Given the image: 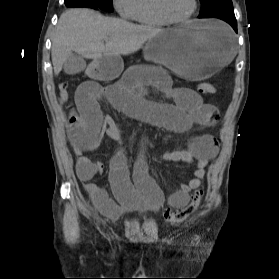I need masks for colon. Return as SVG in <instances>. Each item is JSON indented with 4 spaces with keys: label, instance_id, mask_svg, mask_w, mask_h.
Instances as JSON below:
<instances>
[{
    "label": "colon",
    "instance_id": "obj_1",
    "mask_svg": "<svg viewBox=\"0 0 279 279\" xmlns=\"http://www.w3.org/2000/svg\"><path fill=\"white\" fill-rule=\"evenodd\" d=\"M59 90V99L62 102H68L72 96L68 87V83L61 82L58 86ZM198 91L203 94H213L216 92V88L211 83H201L198 85ZM203 191L198 189L194 192L191 197V201L188 205L178 208V209H167L164 213V216L167 221L171 223H179L193 214L198 208Z\"/></svg>",
    "mask_w": 279,
    "mask_h": 279
}]
</instances>
